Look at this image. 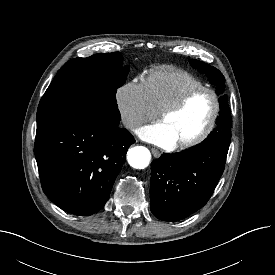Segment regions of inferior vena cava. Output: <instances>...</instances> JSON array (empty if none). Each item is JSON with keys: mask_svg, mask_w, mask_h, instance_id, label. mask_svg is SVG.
<instances>
[{"mask_svg": "<svg viewBox=\"0 0 275 275\" xmlns=\"http://www.w3.org/2000/svg\"><path fill=\"white\" fill-rule=\"evenodd\" d=\"M123 124L128 128H133L139 126L140 122L136 119L127 117L123 119Z\"/></svg>", "mask_w": 275, "mask_h": 275, "instance_id": "602c4592", "label": "inferior vena cava"}]
</instances>
